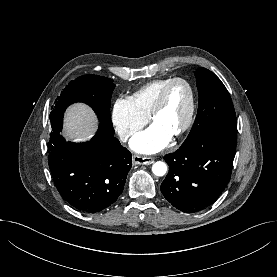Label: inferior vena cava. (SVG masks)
<instances>
[{
  "label": "inferior vena cava",
  "instance_id": "1",
  "mask_svg": "<svg viewBox=\"0 0 277 277\" xmlns=\"http://www.w3.org/2000/svg\"><path fill=\"white\" fill-rule=\"evenodd\" d=\"M130 136L129 132L128 131H125V132H122L120 134V138L122 141H126L128 139V137Z\"/></svg>",
  "mask_w": 277,
  "mask_h": 277
}]
</instances>
